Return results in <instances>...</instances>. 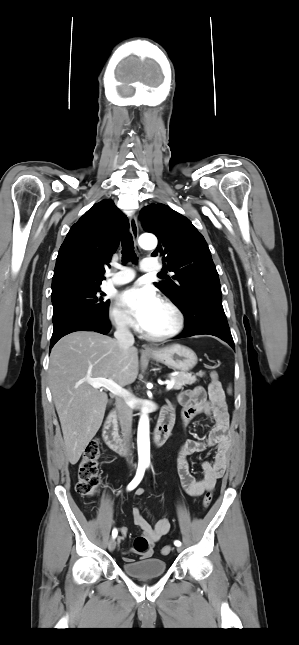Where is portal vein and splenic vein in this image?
<instances>
[{
  "mask_svg": "<svg viewBox=\"0 0 299 645\" xmlns=\"http://www.w3.org/2000/svg\"><path fill=\"white\" fill-rule=\"evenodd\" d=\"M88 383L96 389L99 388H105L108 391H110L112 394L119 396V397H127L129 396V393L123 389L121 386L117 385L113 380L111 379H105V378H94V379H89ZM174 386V380H171L167 383L166 389L170 390Z\"/></svg>",
  "mask_w": 299,
  "mask_h": 645,
  "instance_id": "1",
  "label": "portal vein and splenic vein"
}]
</instances>
